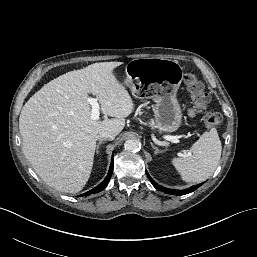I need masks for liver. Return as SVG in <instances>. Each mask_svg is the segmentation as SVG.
<instances>
[{
    "instance_id": "1",
    "label": "liver",
    "mask_w": 257,
    "mask_h": 257,
    "mask_svg": "<svg viewBox=\"0 0 257 257\" xmlns=\"http://www.w3.org/2000/svg\"><path fill=\"white\" fill-rule=\"evenodd\" d=\"M122 62L94 63L45 84L23 106L19 130L22 150L35 172L62 193H77L93 167L98 134L118 135L134 103L113 70ZM88 94L96 96L103 114L94 120Z\"/></svg>"
}]
</instances>
